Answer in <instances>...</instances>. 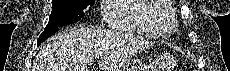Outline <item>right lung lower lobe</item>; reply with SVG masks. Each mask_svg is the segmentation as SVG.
Wrapping results in <instances>:
<instances>
[{
    "label": "right lung lower lobe",
    "mask_w": 230,
    "mask_h": 71,
    "mask_svg": "<svg viewBox=\"0 0 230 71\" xmlns=\"http://www.w3.org/2000/svg\"><path fill=\"white\" fill-rule=\"evenodd\" d=\"M59 27L49 29V30H44V32L40 35L38 38L37 44L40 45L42 42H44L47 38L52 36L54 33L58 31Z\"/></svg>",
    "instance_id": "right-lung-lower-lobe-1"
}]
</instances>
